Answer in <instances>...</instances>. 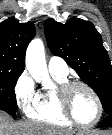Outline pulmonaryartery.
Instances as JSON below:
<instances>
[{
  "label": "pulmonary artery",
  "instance_id": "e3ab8cb5",
  "mask_svg": "<svg viewBox=\"0 0 112 135\" xmlns=\"http://www.w3.org/2000/svg\"><path fill=\"white\" fill-rule=\"evenodd\" d=\"M48 70L52 74L67 76L69 73L68 65L58 57H50L48 60Z\"/></svg>",
  "mask_w": 112,
  "mask_h": 135
}]
</instances>
